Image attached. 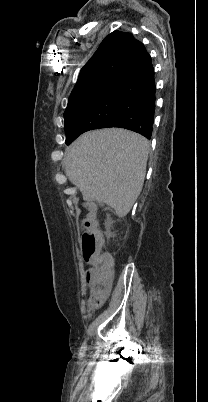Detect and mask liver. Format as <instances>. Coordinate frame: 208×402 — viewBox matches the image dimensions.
Returning a JSON list of instances; mask_svg holds the SVG:
<instances>
[{
  "label": "liver",
  "instance_id": "6515ba94",
  "mask_svg": "<svg viewBox=\"0 0 208 402\" xmlns=\"http://www.w3.org/2000/svg\"><path fill=\"white\" fill-rule=\"evenodd\" d=\"M149 144L143 136L110 128L86 132L67 148L65 172L86 202L129 214L144 184Z\"/></svg>",
  "mask_w": 208,
  "mask_h": 402
}]
</instances>
